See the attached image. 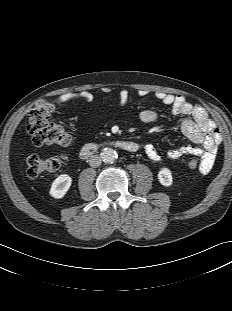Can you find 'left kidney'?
<instances>
[{
	"label": "left kidney",
	"mask_w": 232,
	"mask_h": 311,
	"mask_svg": "<svg viewBox=\"0 0 232 311\" xmlns=\"http://www.w3.org/2000/svg\"><path fill=\"white\" fill-rule=\"evenodd\" d=\"M159 182L163 186H170L172 184V173L168 168H162L158 173Z\"/></svg>",
	"instance_id": "1"
}]
</instances>
